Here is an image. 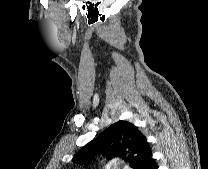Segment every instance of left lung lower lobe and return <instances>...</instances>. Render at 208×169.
I'll return each mask as SVG.
<instances>
[{"label":"left lung lower lobe","mask_w":208,"mask_h":169,"mask_svg":"<svg viewBox=\"0 0 208 169\" xmlns=\"http://www.w3.org/2000/svg\"><path fill=\"white\" fill-rule=\"evenodd\" d=\"M138 169H158L150 149L144 154Z\"/></svg>","instance_id":"left-lung-lower-lobe-1"}]
</instances>
